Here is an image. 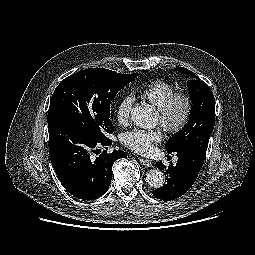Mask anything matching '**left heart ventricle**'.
<instances>
[{
  "mask_svg": "<svg viewBox=\"0 0 255 255\" xmlns=\"http://www.w3.org/2000/svg\"><path fill=\"white\" fill-rule=\"evenodd\" d=\"M182 111H183V105L182 104L177 105L174 111V117L178 118L181 115ZM158 120H159V116H158Z\"/></svg>",
  "mask_w": 255,
  "mask_h": 255,
  "instance_id": "b2bd125f",
  "label": "left heart ventricle"
}]
</instances>
